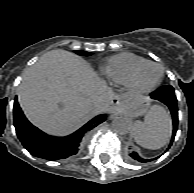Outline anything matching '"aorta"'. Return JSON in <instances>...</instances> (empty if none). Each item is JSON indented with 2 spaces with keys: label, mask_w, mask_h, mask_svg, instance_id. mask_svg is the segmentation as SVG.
<instances>
[{
  "label": "aorta",
  "mask_w": 194,
  "mask_h": 193,
  "mask_svg": "<svg viewBox=\"0 0 194 193\" xmlns=\"http://www.w3.org/2000/svg\"><path fill=\"white\" fill-rule=\"evenodd\" d=\"M129 122L124 118H117L112 122V130L120 135H125L129 132Z\"/></svg>",
  "instance_id": "1"
}]
</instances>
